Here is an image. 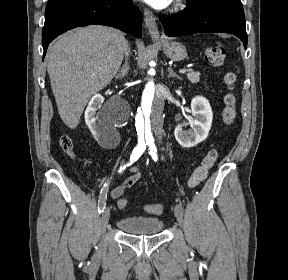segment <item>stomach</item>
I'll use <instances>...</instances> for the list:
<instances>
[{
	"label": "stomach",
	"mask_w": 288,
	"mask_h": 280,
	"mask_svg": "<svg viewBox=\"0 0 288 280\" xmlns=\"http://www.w3.org/2000/svg\"><path fill=\"white\" fill-rule=\"evenodd\" d=\"M161 46L165 55L174 61H182L187 58V50L185 46L179 42L165 41L161 43Z\"/></svg>",
	"instance_id": "obj_1"
}]
</instances>
